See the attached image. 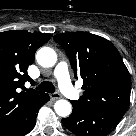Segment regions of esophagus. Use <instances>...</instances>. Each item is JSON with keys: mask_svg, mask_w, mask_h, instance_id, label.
Returning a JSON list of instances; mask_svg holds the SVG:
<instances>
[{"mask_svg": "<svg viewBox=\"0 0 136 136\" xmlns=\"http://www.w3.org/2000/svg\"><path fill=\"white\" fill-rule=\"evenodd\" d=\"M51 100H57L61 98V94L59 92H54L50 94Z\"/></svg>", "mask_w": 136, "mask_h": 136, "instance_id": "esophagus-1", "label": "esophagus"}]
</instances>
